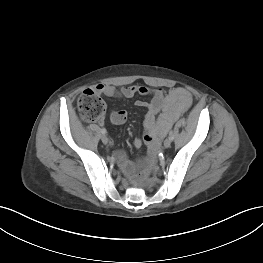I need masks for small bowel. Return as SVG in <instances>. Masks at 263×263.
I'll return each mask as SVG.
<instances>
[{"mask_svg":"<svg viewBox=\"0 0 263 263\" xmlns=\"http://www.w3.org/2000/svg\"><path fill=\"white\" fill-rule=\"evenodd\" d=\"M94 90L111 98L130 99L135 95L151 96L149 102L143 100L136 102L137 106L147 108L143 138H136L133 141L136 148L141 147L143 143L151 145L156 143L192 104L191 94L181 87L165 91L160 88L150 89L143 85H130L117 89L112 85L99 84ZM110 118L114 124L121 125L127 120V112L125 110L113 111ZM117 157L126 174L131 175L136 172V164L127 159L124 152L119 151Z\"/></svg>","mask_w":263,"mask_h":263,"instance_id":"small-bowel-1","label":"small bowel"}]
</instances>
